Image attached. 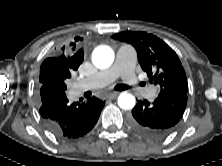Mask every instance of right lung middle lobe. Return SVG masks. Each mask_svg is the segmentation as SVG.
I'll return each mask as SVG.
<instances>
[{"mask_svg":"<svg viewBox=\"0 0 222 166\" xmlns=\"http://www.w3.org/2000/svg\"><path fill=\"white\" fill-rule=\"evenodd\" d=\"M70 77H71L70 75L59 76V77H54L51 75H43V76H40L39 81L41 84L51 83L66 90L67 87H66L65 81L66 79Z\"/></svg>","mask_w":222,"mask_h":166,"instance_id":"1","label":"right lung middle lobe"}]
</instances>
